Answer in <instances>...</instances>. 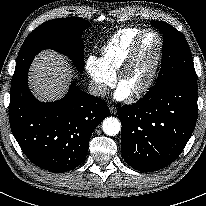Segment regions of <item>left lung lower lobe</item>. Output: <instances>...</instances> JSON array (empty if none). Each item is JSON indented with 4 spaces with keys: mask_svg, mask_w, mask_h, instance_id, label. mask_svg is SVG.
I'll return each mask as SVG.
<instances>
[{
    "mask_svg": "<svg viewBox=\"0 0 206 206\" xmlns=\"http://www.w3.org/2000/svg\"><path fill=\"white\" fill-rule=\"evenodd\" d=\"M197 91L195 82H175L118 109L121 151L128 165L153 172L180 155L196 125Z\"/></svg>",
    "mask_w": 206,
    "mask_h": 206,
    "instance_id": "1",
    "label": "left lung lower lobe"
}]
</instances>
